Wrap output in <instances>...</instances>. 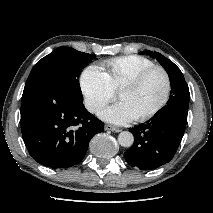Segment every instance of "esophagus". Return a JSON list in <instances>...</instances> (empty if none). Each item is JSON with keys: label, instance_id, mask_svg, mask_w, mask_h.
<instances>
[{"label": "esophagus", "instance_id": "esophagus-1", "mask_svg": "<svg viewBox=\"0 0 213 213\" xmlns=\"http://www.w3.org/2000/svg\"><path fill=\"white\" fill-rule=\"evenodd\" d=\"M105 130H107V131H113V132H120L121 131L120 128L115 127V126L110 125V124H106L105 125Z\"/></svg>", "mask_w": 213, "mask_h": 213}]
</instances>
